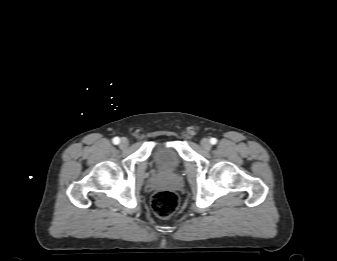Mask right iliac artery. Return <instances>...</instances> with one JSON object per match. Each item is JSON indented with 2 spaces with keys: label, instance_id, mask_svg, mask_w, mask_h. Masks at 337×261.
Masks as SVG:
<instances>
[{
  "label": "right iliac artery",
  "instance_id": "1",
  "mask_svg": "<svg viewBox=\"0 0 337 261\" xmlns=\"http://www.w3.org/2000/svg\"><path fill=\"white\" fill-rule=\"evenodd\" d=\"M113 143L115 144V145H117V144H119V142H120V139L118 138V137H115V138H113Z\"/></svg>",
  "mask_w": 337,
  "mask_h": 261
}]
</instances>
